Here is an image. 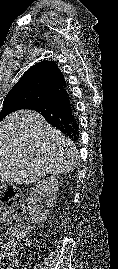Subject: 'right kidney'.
I'll return each instance as SVG.
<instances>
[{
  "label": "right kidney",
  "instance_id": "ca27d5eb",
  "mask_svg": "<svg viewBox=\"0 0 118 269\" xmlns=\"http://www.w3.org/2000/svg\"><path fill=\"white\" fill-rule=\"evenodd\" d=\"M59 186V178L51 176L39 181L30 189L29 197L27 198V209L33 224H40L46 220L50 208L55 203ZM43 199H45L44 206L42 205Z\"/></svg>",
  "mask_w": 118,
  "mask_h": 269
}]
</instances>
